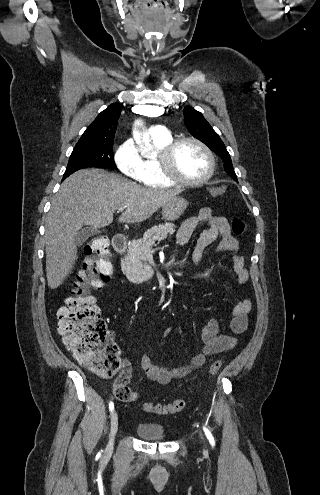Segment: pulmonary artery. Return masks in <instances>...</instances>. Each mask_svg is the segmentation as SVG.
Masks as SVG:
<instances>
[{
	"label": "pulmonary artery",
	"mask_w": 320,
	"mask_h": 495,
	"mask_svg": "<svg viewBox=\"0 0 320 495\" xmlns=\"http://www.w3.org/2000/svg\"><path fill=\"white\" fill-rule=\"evenodd\" d=\"M148 135L154 137H167L169 136V131L163 125H154L147 130Z\"/></svg>",
	"instance_id": "e3ab8cb5"
}]
</instances>
